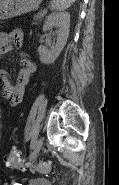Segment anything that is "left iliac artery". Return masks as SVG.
Returning a JSON list of instances; mask_svg holds the SVG:
<instances>
[{
    "mask_svg": "<svg viewBox=\"0 0 119 185\" xmlns=\"http://www.w3.org/2000/svg\"><path fill=\"white\" fill-rule=\"evenodd\" d=\"M35 143H36V140L33 139V141L31 142V147H33Z\"/></svg>",
    "mask_w": 119,
    "mask_h": 185,
    "instance_id": "44dca946",
    "label": "left iliac artery"
}]
</instances>
